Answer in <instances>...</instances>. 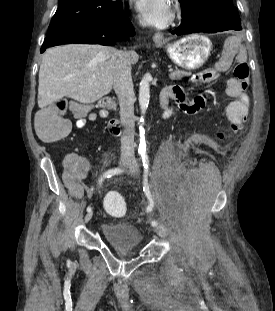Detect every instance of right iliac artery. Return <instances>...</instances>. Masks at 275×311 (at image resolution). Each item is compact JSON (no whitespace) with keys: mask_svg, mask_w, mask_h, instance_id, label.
I'll list each match as a JSON object with an SVG mask.
<instances>
[{"mask_svg":"<svg viewBox=\"0 0 275 311\" xmlns=\"http://www.w3.org/2000/svg\"><path fill=\"white\" fill-rule=\"evenodd\" d=\"M124 170L123 169H120V168H112V169H109L108 171H106L103 176L100 177L99 179V184L101 185L102 181L104 178H110L112 177L113 175H118V174H121ZM92 208L89 206L87 207V212H91Z\"/></svg>","mask_w":275,"mask_h":311,"instance_id":"obj_1","label":"right iliac artery"}]
</instances>
